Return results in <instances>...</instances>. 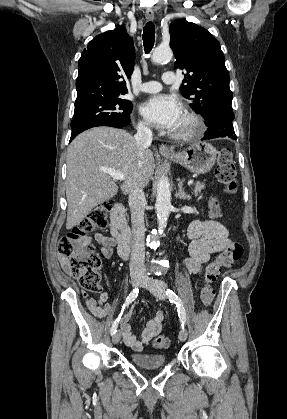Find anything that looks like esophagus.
I'll use <instances>...</instances> for the list:
<instances>
[{"mask_svg":"<svg viewBox=\"0 0 287 419\" xmlns=\"http://www.w3.org/2000/svg\"><path fill=\"white\" fill-rule=\"evenodd\" d=\"M145 17H146L147 20L152 21V20H154V13L152 11H147L145 13ZM158 151L160 153H164V154H174V151L172 149L168 148L164 144L159 145Z\"/></svg>","mask_w":287,"mask_h":419,"instance_id":"obj_1","label":"esophagus"}]
</instances>
